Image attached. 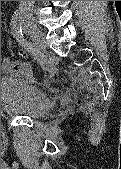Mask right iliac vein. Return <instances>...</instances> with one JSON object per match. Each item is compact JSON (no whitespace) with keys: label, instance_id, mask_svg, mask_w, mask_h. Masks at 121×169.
I'll list each match as a JSON object with an SVG mask.
<instances>
[{"label":"right iliac vein","instance_id":"obj_1","mask_svg":"<svg viewBox=\"0 0 121 169\" xmlns=\"http://www.w3.org/2000/svg\"><path fill=\"white\" fill-rule=\"evenodd\" d=\"M23 27L26 31L30 33L34 41L43 49H45L46 44H45V38L44 34L42 31L38 28V26L35 24V22L28 17H25L22 20Z\"/></svg>","mask_w":121,"mask_h":169}]
</instances>
